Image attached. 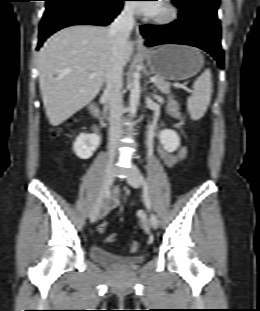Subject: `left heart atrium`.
<instances>
[{"label": "left heart atrium", "mask_w": 260, "mask_h": 311, "mask_svg": "<svg viewBox=\"0 0 260 311\" xmlns=\"http://www.w3.org/2000/svg\"><path fill=\"white\" fill-rule=\"evenodd\" d=\"M159 1H145V2H156V3L136 2V3H133V6L137 12L145 14V15L153 16L157 12L161 4V0Z\"/></svg>", "instance_id": "left-heart-atrium-1"}]
</instances>
